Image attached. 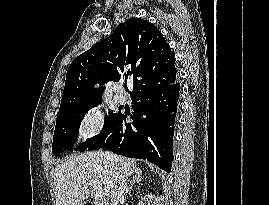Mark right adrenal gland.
I'll return each mask as SVG.
<instances>
[{"instance_id":"1","label":"right adrenal gland","mask_w":269,"mask_h":205,"mask_svg":"<svg viewBox=\"0 0 269 205\" xmlns=\"http://www.w3.org/2000/svg\"><path fill=\"white\" fill-rule=\"evenodd\" d=\"M141 177H142V171L141 170H138L137 172H135L133 177L129 180L130 185L126 189V194H128L130 192V190L132 189V187L136 183L141 184V181H142Z\"/></svg>"}]
</instances>
